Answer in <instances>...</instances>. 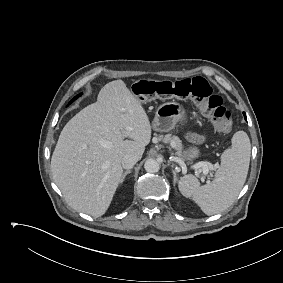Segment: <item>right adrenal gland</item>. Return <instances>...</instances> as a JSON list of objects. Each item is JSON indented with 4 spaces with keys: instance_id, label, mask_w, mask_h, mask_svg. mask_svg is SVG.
I'll list each match as a JSON object with an SVG mask.
<instances>
[{
    "instance_id": "1",
    "label": "right adrenal gland",
    "mask_w": 283,
    "mask_h": 283,
    "mask_svg": "<svg viewBox=\"0 0 283 283\" xmlns=\"http://www.w3.org/2000/svg\"><path fill=\"white\" fill-rule=\"evenodd\" d=\"M131 173V170H127L126 172H124V174L122 175V178L120 180V183H123L125 177L127 176V174Z\"/></svg>"
}]
</instances>
